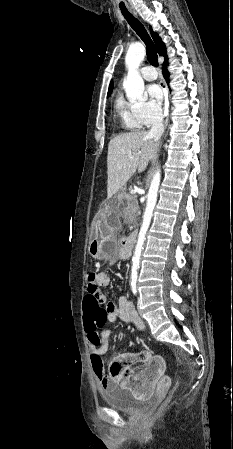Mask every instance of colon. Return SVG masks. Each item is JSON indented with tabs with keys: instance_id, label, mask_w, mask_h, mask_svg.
Returning <instances> with one entry per match:
<instances>
[{
	"instance_id": "colon-1",
	"label": "colon",
	"mask_w": 233,
	"mask_h": 449,
	"mask_svg": "<svg viewBox=\"0 0 233 449\" xmlns=\"http://www.w3.org/2000/svg\"><path fill=\"white\" fill-rule=\"evenodd\" d=\"M97 296H90L89 291L85 292L84 297H81L80 308L82 311V321L85 328H106L107 327V308L101 306V296L97 301ZM129 385L128 379L122 381V386Z\"/></svg>"
}]
</instances>
